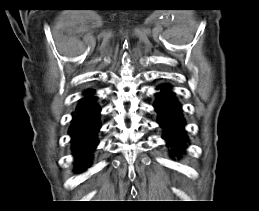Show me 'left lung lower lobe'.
Segmentation results:
<instances>
[{
  "label": "left lung lower lobe",
  "mask_w": 259,
  "mask_h": 211,
  "mask_svg": "<svg viewBox=\"0 0 259 211\" xmlns=\"http://www.w3.org/2000/svg\"><path fill=\"white\" fill-rule=\"evenodd\" d=\"M161 90L155 103L159 113V124L164 128V139L173 152L178 155L185 147L186 136L184 133V121L181 115V105L176 101L173 92L168 85L159 86Z\"/></svg>",
  "instance_id": "1"
}]
</instances>
